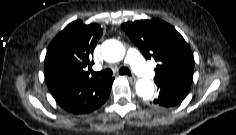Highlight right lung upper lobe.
I'll list each match as a JSON object with an SVG mask.
<instances>
[{
  "label": "right lung upper lobe",
  "instance_id": "right-lung-upper-lobe-1",
  "mask_svg": "<svg viewBox=\"0 0 236 135\" xmlns=\"http://www.w3.org/2000/svg\"><path fill=\"white\" fill-rule=\"evenodd\" d=\"M102 28L92 23L83 24L76 20L67 25L50 43L45 58V78L47 85L59 80L90 81L87 67Z\"/></svg>",
  "mask_w": 236,
  "mask_h": 135
}]
</instances>
